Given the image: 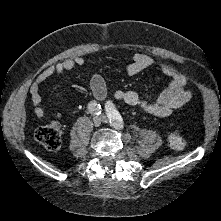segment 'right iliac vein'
<instances>
[{
    "mask_svg": "<svg viewBox=\"0 0 221 221\" xmlns=\"http://www.w3.org/2000/svg\"><path fill=\"white\" fill-rule=\"evenodd\" d=\"M102 122H103L102 116H95V117L93 118V124H94L95 127L100 126V124H101Z\"/></svg>",
    "mask_w": 221,
    "mask_h": 221,
    "instance_id": "63e3f726",
    "label": "right iliac vein"
}]
</instances>
